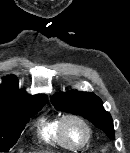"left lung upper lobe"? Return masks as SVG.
<instances>
[{
	"label": "left lung upper lobe",
	"instance_id": "5c2ea615",
	"mask_svg": "<svg viewBox=\"0 0 130 153\" xmlns=\"http://www.w3.org/2000/svg\"><path fill=\"white\" fill-rule=\"evenodd\" d=\"M51 102L56 109L78 114L103 130L110 139L115 138L112 117L104 110L101 99L94 93H58L51 97Z\"/></svg>",
	"mask_w": 130,
	"mask_h": 153
}]
</instances>
